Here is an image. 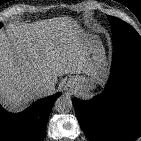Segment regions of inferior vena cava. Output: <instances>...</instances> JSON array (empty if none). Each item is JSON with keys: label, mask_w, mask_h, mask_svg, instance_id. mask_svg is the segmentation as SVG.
Here are the masks:
<instances>
[{"label": "inferior vena cava", "mask_w": 141, "mask_h": 141, "mask_svg": "<svg viewBox=\"0 0 141 141\" xmlns=\"http://www.w3.org/2000/svg\"><path fill=\"white\" fill-rule=\"evenodd\" d=\"M55 89L54 83L49 79H43L35 85V91L41 96L51 93Z\"/></svg>", "instance_id": "1"}]
</instances>
